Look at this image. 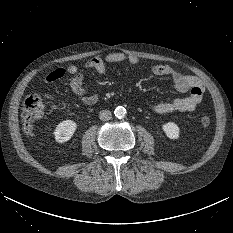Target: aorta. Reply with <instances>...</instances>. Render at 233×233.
Masks as SVG:
<instances>
[{
  "label": "aorta",
  "mask_w": 233,
  "mask_h": 233,
  "mask_svg": "<svg viewBox=\"0 0 233 233\" xmlns=\"http://www.w3.org/2000/svg\"><path fill=\"white\" fill-rule=\"evenodd\" d=\"M126 109L122 106H118L116 107V109L114 110V114L117 118L121 119L126 115Z\"/></svg>",
  "instance_id": "1"
}]
</instances>
